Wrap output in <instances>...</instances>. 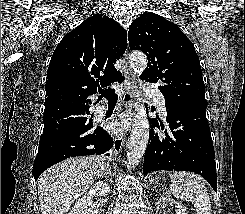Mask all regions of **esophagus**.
I'll use <instances>...</instances> for the list:
<instances>
[{"instance_id":"esophagus-1","label":"esophagus","mask_w":245,"mask_h":214,"mask_svg":"<svg viewBox=\"0 0 245 214\" xmlns=\"http://www.w3.org/2000/svg\"><path fill=\"white\" fill-rule=\"evenodd\" d=\"M128 54L125 52L124 58H123V71L125 75V81L124 86L122 90V95L120 97V103L129 108V111L132 109V98L134 95V89H135V75L131 71L128 62ZM131 124V118H129L128 125ZM125 137L124 133L122 132H116V135L114 137V143H113V150L116 154L120 153L122 150V147L124 145Z\"/></svg>"}]
</instances>
